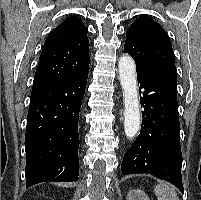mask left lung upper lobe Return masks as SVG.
<instances>
[{"label":"left lung upper lobe","mask_w":201,"mask_h":200,"mask_svg":"<svg viewBox=\"0 0 201 200\" xmlns=\"http://www.w3.org/2000/svg\"><path fill=\"white\" fill-rule=\"evenodd\" d=\"M124 51L135 60L137 71L176 72L169 36L147 15L140 16L128 28Z\"/></svg>","instance_id":"1"}]
</instances>
